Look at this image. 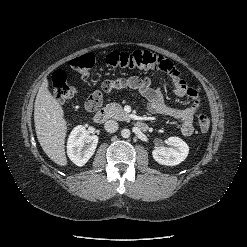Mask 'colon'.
<instances>
[{"mask_svg":"<svg viewBox=\"0 0 247 247\" xmlns=\"http://www.w3.org/2000/svg\"><path fill=\"white\" fill-rule=\"evenodd\" d=\"M104 62L106 66L113 69L150 70L153 72H167L170 75H177L179 73L170 61L150 51L138 50L132 53L114 51L106 56ZM94 63V55L87 53L72 59L70 66L82 77H87ZM52 81L53 96L58 102L64 103L76 95V89L67 82V76L64 71H55ZM197 125L201 132H207L210 127L209 117L206 114H200L197 118Z\"/></svg>","mask_w":247,"mask_h":247,"instance_id":"5ec220e1","label":"colon"}]
</instances>
